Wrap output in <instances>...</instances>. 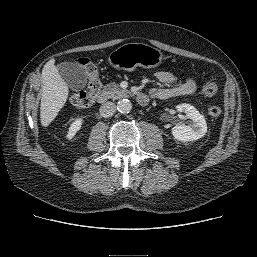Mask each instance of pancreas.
Masks as SVG:
<instances>
[{
    "mask_svg": "<svg viewBox=\"0 0 257 257\" xmlns=\"http://www.w3.org/2000/svg\"><path fill=\"white\" fill-rule=\"evenodd\" d=\"M103 93L111 99H118L124 97L128 92L119 87L118 84L111 83L105 86Z\"/></svg>",
    "mask_w": 257,
    "mask_h": 257,
    "instance_id": "obj_1",
    "label": "pancreas"
}]
</instances>
